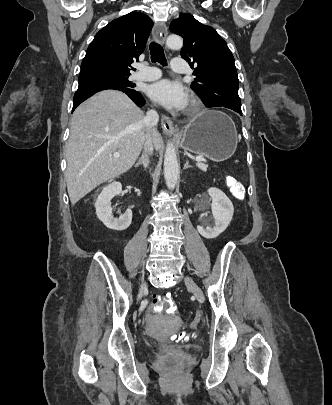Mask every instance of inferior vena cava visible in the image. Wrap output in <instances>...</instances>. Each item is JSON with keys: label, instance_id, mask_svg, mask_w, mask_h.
I'll list each match as a JSON object with an SVG mask.
<instances>
[{"label": "inferior vena cava", "instance_id": "602c4592", "mask_svg": "<svg viewBox=\"0 0 332 405\" xmlns=\"http://www.w3.org/2000/svg\"><path fill=\"white\" fill-rule=\"evenodd\" d=\"M159 121V115L155 110H149L144 118L145 125L148 130V134L144 143L145 153H153V139L152 136L156 131V125Z\"/></svg>", "mask_w": 332, "mask_h": 405}]
</instances>
